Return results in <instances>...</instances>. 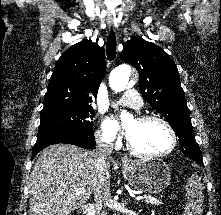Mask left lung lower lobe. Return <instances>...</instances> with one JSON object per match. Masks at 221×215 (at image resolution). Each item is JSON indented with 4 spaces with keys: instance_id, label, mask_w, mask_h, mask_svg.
I'll use <instances>...</instances> for the list:
<instances>
[{
    "instance_id": "left-lung-lower-lobe-1",
    "label": "left lung lower lobe",
    "mask_w": 221,
    "mask_h": 215,
    "mask_svg": "<svg viewBox=\"0 0 221 215\" xmlns=\"http://www.w3.org/2000/svg\"><path fill=\"white\" fill-rule=\"evenodd\" d=\"M192 159H194L195 161H197V162L203 164V159H202V157H194V158H192Z\"/></svg>"
}]
</instances>
